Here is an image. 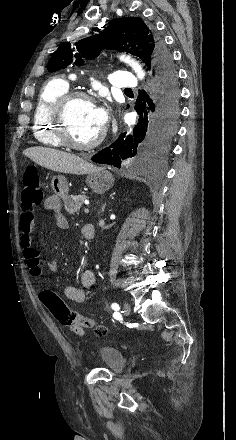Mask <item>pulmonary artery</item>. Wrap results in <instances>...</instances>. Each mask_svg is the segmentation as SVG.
Listing matches in <instances>:
<instances>
[{"label":"pulmonary artery","mask_w":236,"mask_h":440,"mask_svg":"<svg viewBox=\"0 0 236 440\" xmlns=\"http://www.w3.org/2000/svg\"><path fill=\"white\" fill-rule=\"evenodd\" d=\"M110 83L115 88L121 89H133L136 87L137 82L133 75L125 71H115L110 77Z\"/></svg>","instance_id":"1"}]
</instances>
